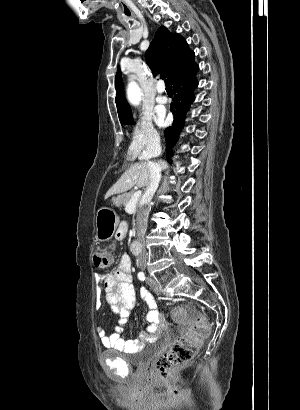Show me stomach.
<instances>
[{
	"instance_id": "stomach-1",
	"label": "stomach",
	"mask_w": 300,
	"mask_h": 410,
	"mask_svg": "<svg viewBox=\"0 0 300 410\" xmlns=\"http://www.w3.org/2000/svg\"><path fill=\"white\" fill-rule=\"evenodd\" d=\"M116 198L113 199V202ZM119 224V217L116 212L109 207H102L96 216V237L99 241L109 240L115 233Z\"/></svg>"
}]
</instances>
